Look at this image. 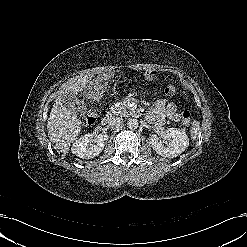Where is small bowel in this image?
I'll list each match as a JSON object with an SVG mask.
<instances>
[{"mask_svg":"<svg viewBox=\"0 0 247 247\" xmlns=\"http://www.w3.org/2000/svg\"><path fill=\"white\" fill-rule=\"evenodd\" d=\"M154 75V71H148L146 73V78L148 80H152ZM148 118L155 125H162L166 119L177 121L179 119V115L174 103L162 99L155 102V104L150 108Z\"/></svg>","mask_w":247,"mask_h":247,"instance_id":"c3829d8e","label":"small bowel"}]
</instances>
